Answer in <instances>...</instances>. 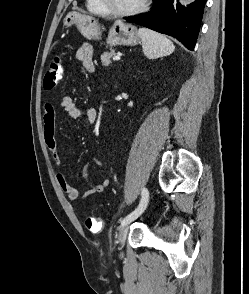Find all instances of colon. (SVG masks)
Wrapping results in <instances>:
<instances>
[{"label":"colon","mask_w":249,"mask_h":294,"mask_svg":"<svg viewBox=\"0 0 249 294\" xmlns=\"http://www.w3.org/2000/svg\"><path fill=\"white\" fill-rule=\"evenodd\" d=\"M63 76V60L61 56H55L52 62L49 64L43 86L46 90H52L56 88L62 80ZM85 226L91 232H99L103 229V221L98 217H86Z\"/></svg>","instance_id":"obj_1"}]
</instances>
